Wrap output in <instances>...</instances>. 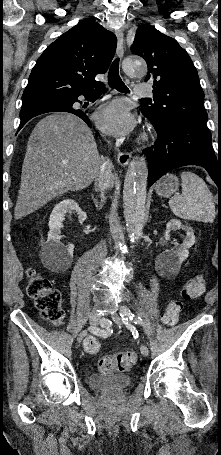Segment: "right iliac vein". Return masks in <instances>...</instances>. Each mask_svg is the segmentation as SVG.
<instances>
[{"label": "right iliac vein", "instance_id": "63e3f726", "mask_svg": "<svg viewBox=\"0 0 221 455\" xmlns=\"http://www.w3.org/2000/svg\"><path fill=\"white\" fill-rule=\"evenodd\" d=\"M99 320H100L99 315L93 311L89 316L90 325L92 327L96 326L98 324ZM86 335H87V330L82 331L77 338L78 342H81Z\"/></svg>", "mask_w": 221, "mask_h": 455}]
</instances>
